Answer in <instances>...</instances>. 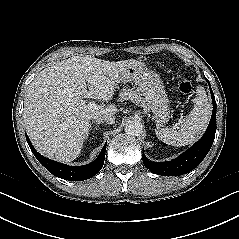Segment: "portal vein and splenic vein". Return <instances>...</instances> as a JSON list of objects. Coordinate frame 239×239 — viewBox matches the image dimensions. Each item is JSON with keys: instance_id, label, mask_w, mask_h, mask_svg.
I'll list each match as a JSON object with an SVG mask.
<instances>
[{"instance_id": "obj_1", "label": "portal vein and splenic vein", "mask_w": 239, "mask_h": 239, "mask_svg": "<svg viewBox=\"0 0 239 239\" xmlns=\"http://www.w3.org/2000/svg\"><path fill=\"white\" fill-rule=\"evenodd\" d=\"M83 103H85V101H82ZM87 107L89 109H98V106L95 102H89V104H87Z\"/></svg>"}]
</instances>
